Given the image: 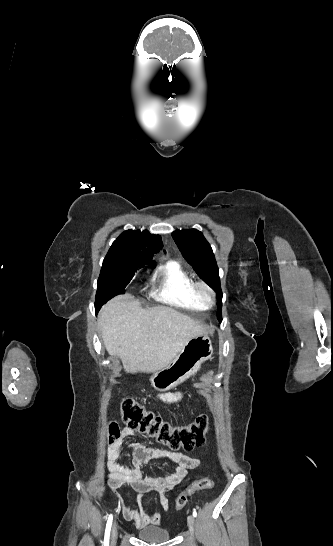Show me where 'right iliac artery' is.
Returning <instances> with one entry per match:
<instances>
[{"label":"right iliac artery","mask_w":333,"mask_h":546,"mask_svg":"<svg viewBox=\"0 0 333 546\" xmlns=\"http://www.w3.org/2000/svg\"><path fill=\"white\" fill-rule=\"evenodd\" d=\"M112 520H113V515L111 514L109 516L107 524H106L105 536H104V546H109V537H110V530H111V526H112Z\"/></svg>","instance_id":"1"}]
</instances>
